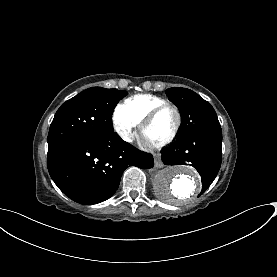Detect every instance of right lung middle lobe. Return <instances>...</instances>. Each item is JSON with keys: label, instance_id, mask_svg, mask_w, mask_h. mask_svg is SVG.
Instances as JSON below:
<instances>
[{"label": "right lung middle lobe", "instance_id": "right-lung-middle-lobe-1", "mask_svg": "<svg viewBox=\"0 0 277 277\" xmlns=\"http://www.w3.org/2000/svg\"><path fill=\"white\" fill-rule=\"evenodd\" d=\"M126 91L92 87L67 100L56 112L48 147L79 138L114 134L112 114Z\"/></svg>", "mask_w": 277, "mask_h": 277}]
</instances>
